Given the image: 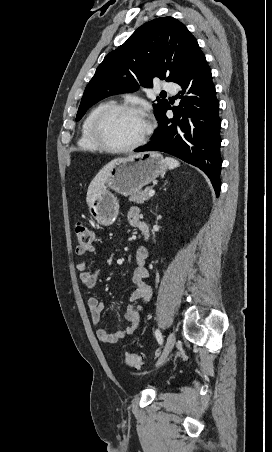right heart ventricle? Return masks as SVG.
<instances>
[{
	"label": "right heart ventricle",
	"mask_w": 272,
	"mask_h": 452,
	"mask_svg": "<svg viewBox=\"0 0 272 452\" xmlns=\"http://www.w3.org/2000/svg\"><path fill=\"white\" fill-rule=\"evenodd\" d=\"M105 104L106 103H101V104L97 105L96 107H94L92 110H90L82 122L80 135H79L77 144L81 149H83L85 151L95 152V151L102 150L99 147V145L92 138L91 131H90V125H91V121H92V118L95 115V113Z\"/></svg>",
	"instance_id": "right-heart-ventricle-1"
}]
</instances>
